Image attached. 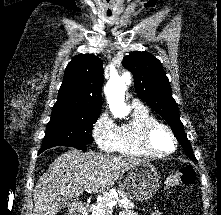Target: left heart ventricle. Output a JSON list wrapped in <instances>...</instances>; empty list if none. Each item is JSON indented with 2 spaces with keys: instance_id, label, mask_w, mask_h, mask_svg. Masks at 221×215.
Masks as SVG:
<instances>
[{
  "instance_id": "obj_1",
  "label": "left heart ventricle",
  "mask_w": 221,
  "mask_h": 215,
  "mask_svg": "<svg viewBox=\"0 0 221 215\" xmlns=\"http://www.w3.org/2000/svg\"><path fill=\"white\" fill-rule=\"evenodd\" d=\"M153 144L159 150H170L172 148V140L165 130H159L153 137Z\"/></svg>"
}]
</instances>
